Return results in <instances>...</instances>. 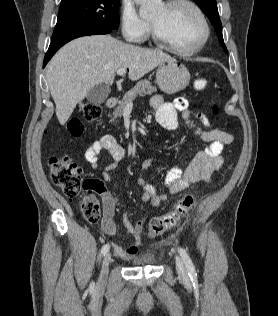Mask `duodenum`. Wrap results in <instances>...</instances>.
I'll return each instance as SVG.
<instances>
[{
    "mask_svg": "<svg viewBox=\"0 0 278 316\" xmlns=\"http://www.w3.org/2000/svg\"><path fill=\"white\" fill-rule=\"evenodd\" d=\"M117 98L116 97H109L107 100H106V106L108 108H112L114 107L116 104H117Z\"/></svg>",
    "mask_w": 278,
    "mask_h": 316,
    "instance_id": "obj_1",
    "label": "duodenum"
}]
</instances>
